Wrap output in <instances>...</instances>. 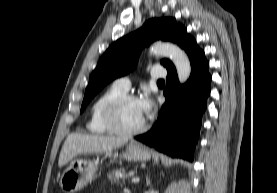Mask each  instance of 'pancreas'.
<instances>
[{
  "instance_id": "pancreas-1",
  "label": "pancreas",
  "mask_w": 277,
  "mask_h": 193,
  "mask_svg": "<svg viewBox=\"0 0 277 193\" xmlns=\"http://www.w3.org/2000/svg\"><path fill=\"white\" fill-rule=\"evenodd\" d=\"M133 173L129 172L128 174L125 171L122 170H112L107 174L108 179L111 181V183L120 184V181H125L126 178L129 176H132Z\"/></svg>"
}]
</instances>
